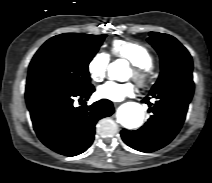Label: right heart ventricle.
<instances>
[{
	"label": "right heart ventricle",
	"mask_w": 212,
	"mask_h": 183,
	"mask_svg": "<svg viewBox=\"0 0 212 183\" xmlns=\"http://www.w3.org/2000/svg\"><path fill=\"white\" fill-rule=\"evenodd\" d=\"M114 57L125 59L131 64L150 68L153 65V56L141 43L127 40H114L110 47Z\"/></svg>",
	"instance_id": "obj_1"
}]
</instances>
